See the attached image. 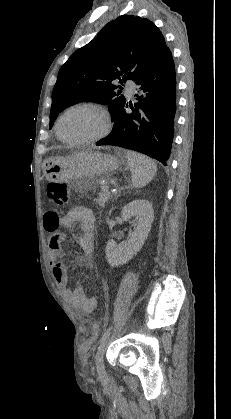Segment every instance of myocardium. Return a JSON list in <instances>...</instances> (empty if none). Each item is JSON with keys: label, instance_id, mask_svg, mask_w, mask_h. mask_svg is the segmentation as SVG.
Returning a JSON list of instances; mask_svg holds the SVG:
<instances>
[{"label": "myocardium", "instance_id": "f54148a6", "mask_svg": "<svg viewBox=\"0 0 231 419\" xmlns=\"http://www.w3.org/2000/svg\"><path fill=\"white\" fill-rule=\"evenodd\" d=\"M78 109H84V110H89V111H93L97 114L100 115V117L102 118V122H103V127L102 130L89 138H84V139H67L64 136H62L61 132H60V123L61 120L63 119V117L68 114L71 111L74 110H78ZM110 117L107 113V111L97 105H93V104H78V105H74L69 107L68 109H66L65 111H63L61 113V115L58 117L57 121H56V125H55V131L57 136L59 137L60 140H62L63 142L67 143V144H71V145H84V144H91V143H95L99 140H101L102 138H104L109 130H110Z\"/></svg>", "mask_w": 231, "mask_h": 419}]
</instances>
